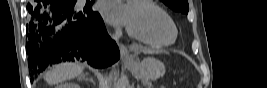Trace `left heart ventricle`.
<instances>
[{"label":"left heart ventricle","mask_w":267,"mask_h":88,"mask_svg":"<svg viewBox=\"0 0 267 88\" xmlns=\"http://www.w3.org/2000/svg\"><path fill=\"white\" fill-rule=\"evenodd\" d=\"M128 27L138 35L155 42H170L175 30L170 20L145 5L131 3Z\"/></svg>","instance_id":"obj_1"}]
</instances>
